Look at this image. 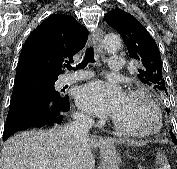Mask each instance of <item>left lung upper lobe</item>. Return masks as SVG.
Returning a JSON list of instances; mask_svg holds the SVG:
<instances>
[{
    "mask_svg": "<svg viewBox=\"0 0 177 169\" xmlns=\"http://www.w3.org/2000/svg\"><path fill=\"white\" fill-rule=\"evenodd\" d=\"M104 19L119 32L130 58L139 62L138 77L141 82L153 89L160 98L165 99L168 94L162 73L160 52L155 40L134 16L125 11L112 10ZM170 135L176 139L172 129Z\"/></svg>",
    "mask_w": 177,
    "mask_h": 169,
    "instance_id": "5c2ea615",
    "label": "left lung upper lobe"
}]
</instances>
